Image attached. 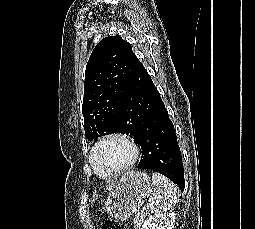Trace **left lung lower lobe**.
<instances>
[{
	"mask_svg": "<svg viewBox=\"0 0 255 229\" xmlns=\"http://www.w3.org/2000/svg\"><path fill=\"white\" fill-rule=\"evenodd\" d=\"M119 119L126 132L134 134L135 142L141 146L142 158L137 168L159 172L183 191V162L175 129L142 63L128 87Z\"/></svg>",
	"mask_w": 255,
	"mask_h": 229,
	"instance_id": "obj_1",
	"label": "left lung lower lobe"
}]
</instances>
